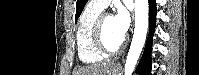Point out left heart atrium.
Returning <instances> with one entry per match:
<instances>
[{"instance_id":"1","label":"left heart atrium","mask_w":199,"mask_h":75,"mask_svg":"<svg viewBox=\"0 0 199 75\" xmlns=\"http://www.w3.org/2000/svg\"><path fill=\"white\" fill-rule=\"evenodd\" d=\"M130 19L128 13L124 9L118 10L113 16V26L117 34L123 39L129 28Z\"/></svg>"}]
</instances>
